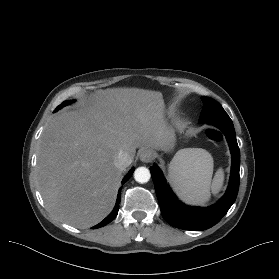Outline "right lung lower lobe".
I'll return each instance as SVG.
<instances>
[{
  "label": "right lung lower lobe",
  "mask_w": 279,
  "mask_h": 279,
  "mask_svg": "<svg viewBox=\"0 0 279 279\" xmlns=\"http://www.w3.org/2000/svg\"><path fill=\"white\" fill-rule=\"evenodd\" d=\"M133 171H134V168H132L128 172V174L122 180V183L126 182L131 177ZM120 198H121V191L119 190L115 208L113 209V211L102 222H100L98 225L94 226L93 227L94 229L95 228H100V227H103V226L107 225L108 223H110L116 217V215L118 214V210H119Z\"/></svg>",
  "instance_id": "98d812e1"
}]
</instances>
